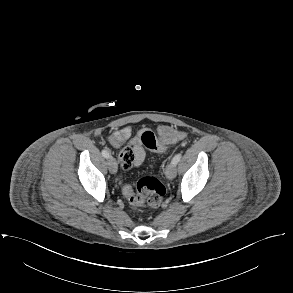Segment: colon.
I'll list each match as a JSON object with an SVG mask.
<instances>
[{
  "label": "colon",
  "mask_w": 293,
  "mask_h": 293,
  "mask_svg": "<svg viewBox=\"0 0 293 293\" xmlns=\"http://www.w3.org/2000/svg\"><path fill=\"white\" fill-rule=\"evenodd\" d=\"M142 144L153 153H164L165 145L160 142L152 131L146 130L141 134ZM123 193L133 207L148 203L152 207L159 206L165 196L166 188L163 183L153 176L140 178L136 185V193L129 184L123 186Z\"/></svg>",
  "instance_id": "5ec220e1"
}]
</instances>
